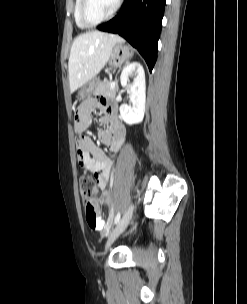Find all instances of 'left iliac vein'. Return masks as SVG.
Listing matches in <instances>:
<instances>
[{
  "instance_id": "4c4485c4",
  "label": "left iliac vein",
  "mask_w": 247,
  "mask_h": 304,
  "mask_svg": "<svg viewBox=\"0 0 247 304\" xmlns=\"http://www.w3.org/2000/svg\"><path fill=\"white\" fill-rule=\"evenodd\" d=\"M134 205L131 204L128 209L126 210L125 214L123 215L120 222L117 224L114 231L111 233L107 244H106V250L111 246V244L116 240V238L124 231V229L127 227L132 214H133Z\"/></svg>"
}]
</instances>
